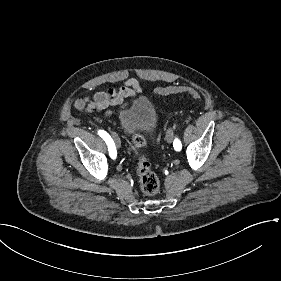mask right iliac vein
I'll use <instances>...</instances> for the list:
<instances>
[{
    "label": "right iliac vein",
    "instance_id": "1",
    "mask_svg": "<svg viewBox=\"0 0 281 281\" xmlns=\"http://www.w3.org/2000/svg\"><path fill=\"white\" fill-rule=\"evenodd\" d=\"M112 136L115 141L116 147L119 148L121 146V141H120L119 137L115 133H113Z\"/></svg>",
    "mask_w": 281,
    "mask_h": 281
}]
</instances>
